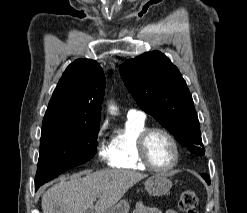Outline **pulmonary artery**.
<instances>
[{
    "mask_svg": "<svg viewBox=\"0 0 247 213\" xmlns=\"http://www.w3.org/2000/svg\"><path fill=\"white\" fill-rule=\"evenodd\" d=\"M128 118H138V119H145V113L140 110L131 109L127 113Z\"/></svg>",
    "mask_w": 247,
    "mask_h": 213,
    "instance_id": "e3ab8cb5",
    "label": "pulmonary artery"
}]
</instances>
